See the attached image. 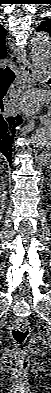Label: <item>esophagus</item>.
<instances>
[{
    "mask_svg": "<svg viewBox=\"0 0 51 393\" xmlns=\"http://www.w3.org/2000/svg\"><path fill=\"white\" fill-rule=\"evenodd\" d=\"M18 54H19L21 80L23 81L25 86L30 87L34 83L33 68L30 62L28 61L26 57V53L23 49H19ZM39 120L42 125L51 124V118L49 113L40 116Z\"/></svg>",
    "mask_w": 51,
    "mask_h": 393,
    "instance_id": "obj_1",
    "label": "esophagus"
}]
</instances>
